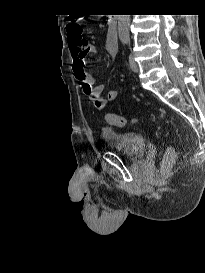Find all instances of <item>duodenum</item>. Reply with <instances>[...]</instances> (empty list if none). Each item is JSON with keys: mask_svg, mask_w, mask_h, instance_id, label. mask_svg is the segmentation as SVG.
I'll return each instance as SVG.
<instances>
[{"mask_svg": "<svg viewBox=\"0 0 205 273\" xmlns=\"http://www.w3.org/2000/svg\"><path fill=\"white\" fill-rule=\"evenodd\" d=\"M116 23H117V17L115 15H110L107 17V25L114 34L115 39L117 38L116 36Z\"/></svg>", "mask_w": 205, "mask_h": 273, "instance_id": "obj_1", "label": "duodenum"}]
</instances>
